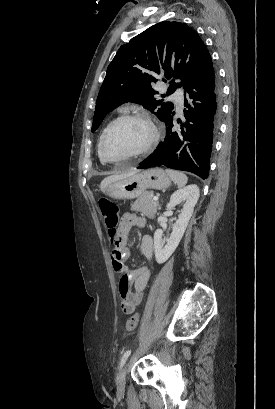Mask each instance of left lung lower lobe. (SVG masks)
Returning <instances> with one entry per match:
<instances>
[{
	"label": "left lung lower lobe",
	"instance_id": "obj_1",
	"mask_svg": "<svg viewBox=\"0 0 275 409\" xmlns=\"http://www.w3.org/2000/svg\"><path fill=\"white\" fill-rule=\"evenodd\" d=\"M184 89L187 90L184 104L187 109H184L186 122L181 131L173 130L175 112L172 111L164 121L167 129L164 141L138 168L164 165L207 179L213 138L222 113V86L213 64Z\"/></svg>",
	"mask_w": 275,
	"mask_h": 409
}]
</instances>
